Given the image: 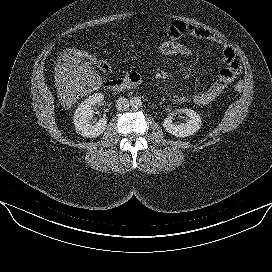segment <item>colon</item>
Returning a JSON list of instances; mask_svg holds the SVG:
<instances>
[{"label": "colon", "mask_w": 272, "mask_h": 272, "mask_svg": "<svg viewBox=\"0 0 272 272\" xmlns=\"http://www.w3.org/2000/svg\"><path fill=\"white\" fill-rule=\"evenodd\" d=\"M154 49L160 56L168 59H180L188 56L190 53V47L188 44L182 42L181 39H173L169 37L158 41L154 45ZM66 52L69 57L95 64L102 72L106 73L110 71V65L107 61L97 59L94 55L85 50L71 48ZM243 87V82H238L235 84L234 89L236 92H241Z\"/></svg>", "instance_id": "colon-1"}]
</instances>
